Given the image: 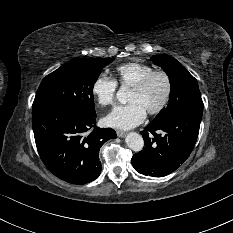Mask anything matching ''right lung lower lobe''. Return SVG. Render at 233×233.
<instances>
[{"instance_id":"obj_1","label":"right lung lower lobe","mask_w":233,"mask_h":233,"mask_svg":"<svg viewBox=\"0 0 233 233\" xmlns=\"http://www.w3.org/2000/svg\"><path fill=\"white\" fill-rule=\"evenodd\" d=\"M95 118L96 113L88 115L66 108L32 109L40 158L56 177L72 184H85L100 175L99 149L117 136L111 128L96 127Z\"/></svg>"}]
</instances>
